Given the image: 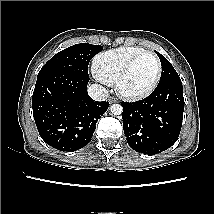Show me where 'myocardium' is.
<instances>
[{"instance_id": "f54148a6", "label": "myocardium", "mask_w": 214, "mask_h": 214, "mask_svg": "<svg viewBox=\"0 0 214 214\" xmlns=\"http://www.w3.org/2000/svg\"><path fill=\"white\" fill-rule=\"evenodd\" d=\"M145 55H151L155 59L156 64H157V73H156V77H155L153 83L150 85V87H148L146 90L141 91V92L133 93V92H128V91L124 90V88H123L124 82L127 79L128 75L130 74L133 66L136 64V62L140 58H142ZM161 76H162V64H161L159 57L154 52L145 50V51L137 54L136 56H134L126 64V66L120 73V75L116 81L117 93L121 97L128 99V100H140V99L146 98L155 91V89L157 88V86L160 82Z\"/></svg>"}]
</instances>
